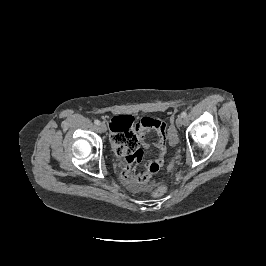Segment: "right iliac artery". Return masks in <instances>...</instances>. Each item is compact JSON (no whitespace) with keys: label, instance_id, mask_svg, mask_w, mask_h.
<instances>
[{"label":"right iliac artery","instance_id":"1","mask_svg":"<svg viewBox=\"0 0 266 266\" xmlns=\"http://www.w3.org/2000/svg\"><path fill=\"white\" fill-rule=\"evenodd\" d=\"M94 123H95L96 125H100V121H99V120H95Z\"/></svg>","mask_w":266,"mask_h":266}]
</instances>
